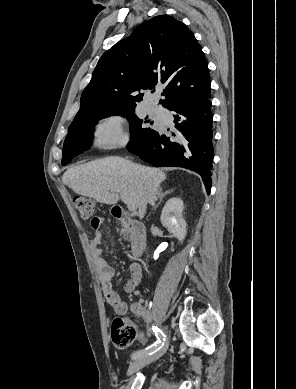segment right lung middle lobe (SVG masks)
Returning <instances> with one entry per match:
<instances>
[{
    "instance_id": "obj_1",
    "label": "right lung middle lobe",
    "mask_w": 296,
    "mask_h": 389,
    "mask_svg": "<svg viewBox=\"0 0 296 389\" xmlns=\"http://www.w3.org/2000/svg\"><path fill=\"white\" fill-rule=\"evenodd\" d=\"M135 106L110 107L91 109L76 117L68 129V134L63 145L62 165L69 163L71 159L86 150L93 138V127L106 117L119 115L127 117L130 122L131 139L127 147L129 150H140L155 133L135 114Z\"/></svg>"
}]
</instances>
